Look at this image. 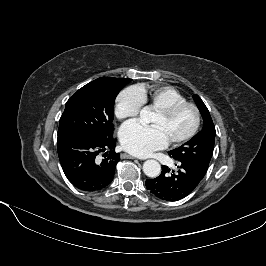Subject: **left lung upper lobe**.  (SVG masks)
Returning a JSON list of instances; mask_svg holds the SVG:
<instances>
[{
    "label": "left lung upper lobe",
    "instance_id": "5c2ea615",
    "mask_svg": "<svg viewBox=\"0 0 266 266\" xmlns=\"http://www.w3.org/2000/svg\"><path fill=\"white\" fill-rule=\"evenodd\" d=\"M193 99L204 119V126L188 142L169 151V155L204 177L213 154L216 131L210 113L202 99L197 94L193 96Z\"/></svg>",
    "mask_w": 266,
    "mask_h": 266
}]
</instances>
